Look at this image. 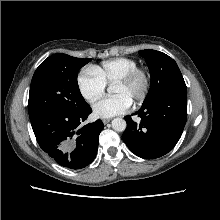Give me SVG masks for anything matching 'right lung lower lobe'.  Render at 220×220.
I'll return each mask as SVG.
<instances>
[{"instance_id":"right-lung-lower-lobe-1","label":"right lung lower lobe","mask_w":220,"mask_h":220,"mask_svg":"<svg viewBox=\"0 0 220 220\" xmlns=\"http://www.w3.org/2000/svg\"><path fill=\"white\" fill-rule=\"evenodd\" d=\"M92 112L90 106L76 113L53 112L31 122L37 142L59 165L80 169L97 154L103 122L97 120L78 129Z\"/></svg>"}]
</instances>
